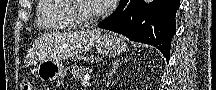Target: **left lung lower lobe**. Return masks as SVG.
Instances as JSON below:
<instances>
[{
  "label": "left lung lower lobe",
  "instance_id": "obj_1",
  "mask_svg": "<svg viewBox=\"0 0 216 90\" xmlns=\"http://www.w3.org/2000/svg\"><path fill=\"white\" fill-rule=\"evenodd\" d=\"M179 0H121L119 7L98 27L157 47L169 61Z\"/></svg>",
  "mask_w": 216,
  "mask_h": 90
}]
</instances>
